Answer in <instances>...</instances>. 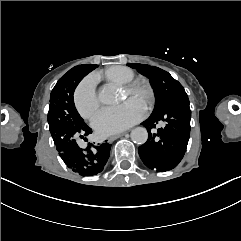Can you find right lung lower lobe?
Listing matches in <instances>:
<instances>
[{
  "label": "right lung lower lobe",
  "instance_id": "right-lung-lower-lobe-1",
  "mask_svg": "<svg viewBox=\"0 0 241 241\" xmlns=\"http://www.w3.org/2000/svg\"><path fill=\"white\" fill-rule=\"evenodd\" d=\"M82 66L75 81L77 85L84 76L94 70L91 64ZM90 133H92V129L85 125L80 134L87 136ZM56 147L60 157L69 168L81 176H92L104 169L109 159L111 144L103 143L94 146V149H91L89 144V147L82 149L73 137L65 136Z\"/></svg>",
  "mask_w": 241,
  "mask_h": 241
}]
</instances>
